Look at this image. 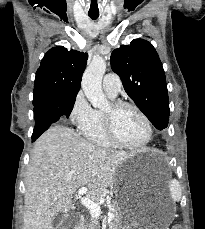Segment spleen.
Returning <instances> with one entry per match:
<instances>
[{"instance_id": "obj_1", "label": "spleen", "mask_w": 205, "mask_h": 229, "mask_svg": "<svg viewBox=\"0 0 205 229\" xmlns=\"http://www.w3.org/2000/svg\"><path fill=\"white\" fill-rule=\"evenodd\" d=\"M169 190L171 194V198L174 202H179L181 200V187L179 182L176 179H173L169 183Z\"/></svg>"}]
</instances>
